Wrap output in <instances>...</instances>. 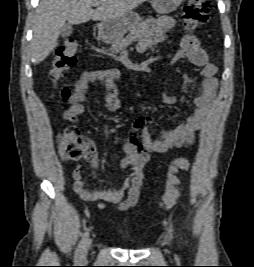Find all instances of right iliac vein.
<instances>
[{
    "label": "right iliac vein",
    "instance_id": "63e3f726",
    "mask_svg": "<svg viewBox=\"0 0 254 267\" xmlns=\"http://www.w3.org/2000/svg\"><path fill=\"white\" fill-rule=\"evenodd\" d=\"M90 245H91V240H87L82 250L81 257H80L82 261L86 260Z\"/></svg>",
    "mask_w": 254,
    "mask_h": 267
}]
</instances>
